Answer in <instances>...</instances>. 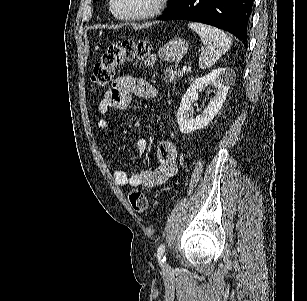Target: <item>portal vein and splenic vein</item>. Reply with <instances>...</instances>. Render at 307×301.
Returning <instances> with one entry per match:
<instances>
[{"mask_svg": "<svg viewBox=\"0 0 307 301\" xmlns=\"http://www.w3.org/2000/svg\"><path fill=\"white\" fill-rule=\"evenodd\" d=\"M186 70H191V68H188V66H182L181 72H186Z\"/></svg>", "mask_w": 307, "mask_h": 301, "instance_id": "obj_1", "label": "portal vein and splenic vein"}]
</instances>
